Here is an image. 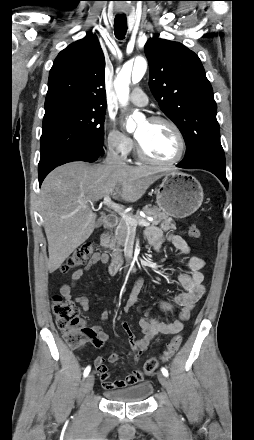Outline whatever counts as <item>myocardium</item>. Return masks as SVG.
<instances>
[{"label": "myocardium", "instance_id": "1", "mask_svg": "<svg viewBox=\"0 0 254 440\" xmlns=\"http://www.w3.org/2000/svg\"><path fill=\"white\" fill-rule=\"evenodd\" d=\"M148 121L151 123H164V124L168 125L175 132V134L178 138L179 151H178V154L176 155V157L171 160H168V161L157 160V159L150 157L143 149L139 140L136 139V152H137L138 157L146 163H149L152 165H158V166H172V165L179 163L183 159L185 152H186V140H185V137H184L181 129L179 128V126L174 121H172L171 119L164 117V116H153V117H150L148 119Z\"/></svg>", "mask_w": 254, "mask_h": 440}]
</instances>
